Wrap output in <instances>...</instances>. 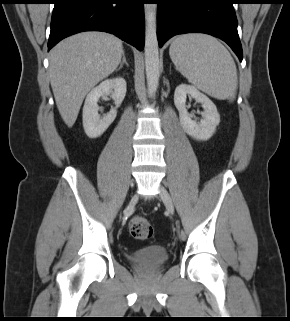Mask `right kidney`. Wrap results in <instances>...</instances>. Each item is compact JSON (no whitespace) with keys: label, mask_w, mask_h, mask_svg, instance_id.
<instances>
[{"label":"right kidney","mask_w":290,"mask_h":321,"mask_svg":"<svg viewBox=\"0 0 290 321\" xmlns=\"http://www.w3.org/2000/svg\"><path fill=\"white\" fill-rule=\"evenodd\" d=\"M115 105H120L126 95V81L122 77L106 79L93 88L86 97L83 107V127L90 138L101 136L117 116L115 109L103 118L98 114V100L102 96L110 95Z\"/></svg>","instance_id":"1"}]
</instances>
